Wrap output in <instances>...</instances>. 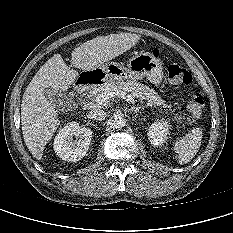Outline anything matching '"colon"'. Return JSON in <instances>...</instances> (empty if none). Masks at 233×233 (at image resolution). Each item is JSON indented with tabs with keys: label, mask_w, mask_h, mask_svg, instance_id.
Instances as JSON below:
<instances>
[{
	"label": "colon",
	"mask_w": 233,
	"mask_h": 233,
	"mask_svg": "<svg viewBox=\"0 0 233 233\" xmlns=\"http://www.w3.org/2000/svg\"><path fill=\"white\" fill-rule=\"evenodd\" d=\"M167 78L171 85L180 86L190 84L192 81L191 73L177 63H170L166 69ZM205 105L201 93H195L187 104V109L194 117H199Z\"/></svg>",
	"instance_id": "obj_1"
}]
</instances>
